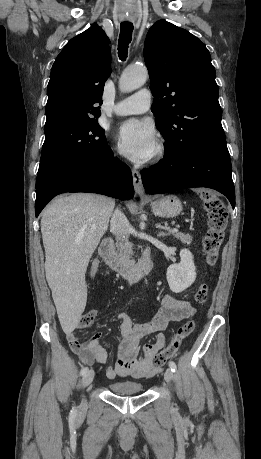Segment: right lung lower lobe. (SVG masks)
Segmentation results:
<instances>
[{
	"label": "right lung lower lobe",
	"instance_id": "right-lung-lower-lobe-1",
	"mask_svg": "<svg viewBox=\"0 0 261 459\" xmlns=\"http://www.w3.org/2000/svg\"><path fill=\"white\" fill-rule=\"evenodd\" d=\"M65 192H94L131 199L134 196L132 174L111 150L104 159L65 165L36 181V217L52 198Z\"/></svg>",
	"mask_w": 261,
	"mask_h": 459
}]
</instances>
